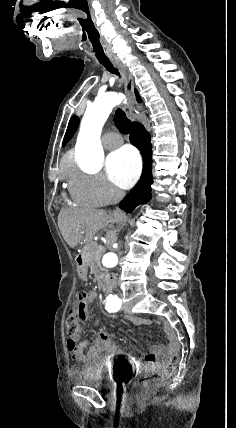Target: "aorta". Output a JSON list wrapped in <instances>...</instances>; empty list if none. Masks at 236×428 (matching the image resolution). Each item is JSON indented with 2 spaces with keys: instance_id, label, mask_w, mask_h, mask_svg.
Returning a JSON list of instances; mask_svg holds the SVG:
<instances>
[{
  "instance_id": "762f6f07",
  "label": "aorta",
  "mask_w": 236,
  "mask_h": 428,
  "mask_svg": "<svg viewBox=\"0 0 236 428\" xmlns=\"http://www.w3.org/2000/svg\"><path fill=\"white\" fill-rule=\"evenodd\" d=\"M123 100L121 93L108 92L98 95L95 101L87 106L75 147L77 160L85 169L93 171L101 166L104 158L100 141L102 128L112 109ZM102 262L105 267H115L118 264V256L114 252H107Z\"/></svg>"
}]
</instances>
